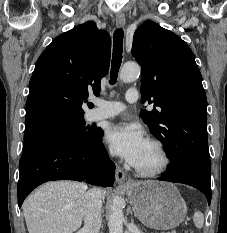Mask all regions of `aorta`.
<instances>
[{
	"label": "aorta",
	"instance_id": "1",
	"mask_svg": "<svg viewBox=\"0 0 227 233\" xmlns=\"http://www.w3.org/2000/svg\"><path fill=\"white\" fill-rule=\"evenodd\" d=\"M141 68L137 63H126L120 71V79L125 83L133 82L139 78ZM123 200L115 197L111 214L108 220L109 233H123L124 214L122 210Z\"/></svg>",
	"mask_w": 227,
	"mask_h": 233
}]
</instances>
